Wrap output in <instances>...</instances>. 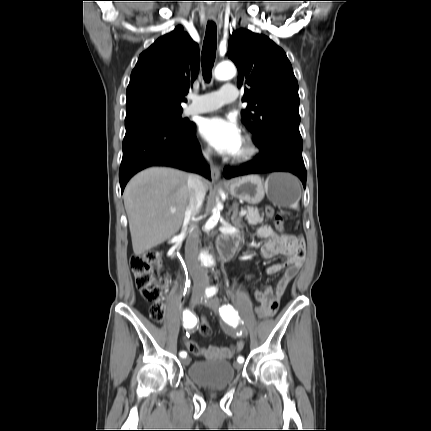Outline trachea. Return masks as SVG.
Masks as SVG:
<instances>
[{
    "label": "trachea",
    "mask_w": 431,
    "mask_h": 431,
    "mask_svg": "<svg viewBox=\"0 0 431 431\" xmlns=\"http://www.w3.org/2000/svg\"><path fill=\"white\" fill-rule=\"evenodd\" d=\"M217 48V30L214 22H208L202 47V71L205 81L211 79V71L215 62Z\"/></svg>",
    "instance_id": "obj_1"
}]
</instances>
